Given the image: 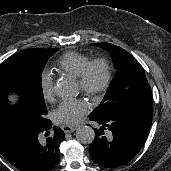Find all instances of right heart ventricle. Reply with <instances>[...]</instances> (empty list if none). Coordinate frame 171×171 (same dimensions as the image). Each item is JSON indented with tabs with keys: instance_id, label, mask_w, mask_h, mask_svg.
Returning <instances> with one entry per match:
<instances>
[{
	"instance_id": "obj_1",
	"label": "right heart ventricle",
	"mask_w": 171,
	"mask_h": 171,
	"mask_svg": "<svg viewBox=\"0 0 171 171\" xmlns=\"http://www.w3.org/2000/svg\"><path fill=\"white\" fill-rule=\"evenodd\" d=\"M90 58L82 53L70 51L57 61V68L64 74L78 78Z\"/></svg>"
}]
</instances>
